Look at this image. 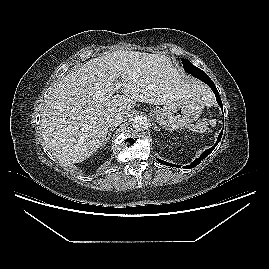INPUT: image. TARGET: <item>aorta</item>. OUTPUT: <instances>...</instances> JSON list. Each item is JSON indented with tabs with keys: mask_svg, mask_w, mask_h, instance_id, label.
Segmentation results:
<instances>
[{
	"mask_svg": "<svg viewBox=\"0 0 269 269\" xmlns=\"http://www.w3.org/2000/svg\"><path fill=\"white\" fill-rule=\"evenodd\" d=\"M148 125L149 121L145 115H136L132 119V126L136 130H146Z\"/></svg>",
	"mask_w": 269,
	"mask_h": 269,
	"instance_id": "obj_1",
	"label": "aorta"
}]
</instances>
